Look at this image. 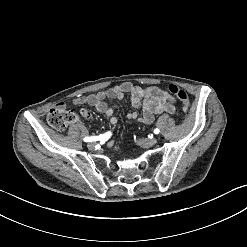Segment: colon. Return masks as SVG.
Masks as SVG:
<instances>
[{
	"mask_svg": "<svg viewBox=\"0 0 247 247\" xmlns=\"http://www.w3.org/2000/svg\"><path fill=\"white\" fill-rule=\"evenodd\" d=\"M168 89L182 103L186 111L190 109V98L184 89L175 84H170ZM73 112L74 110L51 109L47 115V122L53 129L63 131L68 125L72 124Z\"/></svg>",
	"mask_w": 247,
	"mask_h": 247,
	"instance_id": "1",
	"label": "colon"
}]
</instances>
